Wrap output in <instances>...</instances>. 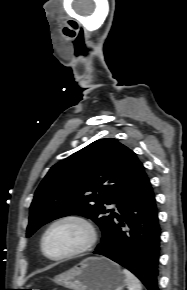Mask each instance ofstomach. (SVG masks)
Returning <instances> with one entry per match:
<instances>
[{
	"instance_id": "1",
	"label": "stomach",
	"mask_w": 187,
	"mask_h": 290,
	"mask_svg": "<svg viewBox=\"0 0 187 290\" xmlns=\"http://www.w3.org/2000/svg\"><path fill=\"white\" fill-rule=\"evenodd\" d=\"M53 281L70 290H123L127 279L119 265L105 257H88Z\"/></svg>"
}]
</instances>
